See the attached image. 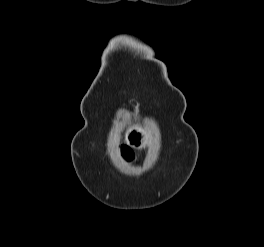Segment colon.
I'll use <instances>...</instances> for the list:
<instances>
[{
  "instance_id": "5ec220e1",
  "label": "colon",
  "mask_w": 264,
  "mask_h": 247,
  "mask_svg": "<svg viewBox=\"0 0 264 247\" xmlns=\"http://www.w3.org/2000/svg\"><path fill=\"white\" fill-rule=\"evenodd\" d=\"M125 157H126L127 159H129V158H130L128 154H126V155H125Z\"/></svg>"
}]
</instances>
